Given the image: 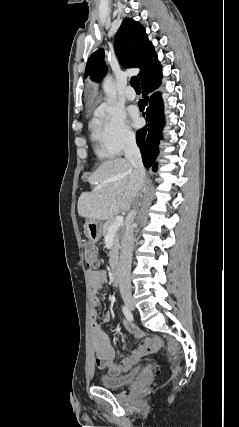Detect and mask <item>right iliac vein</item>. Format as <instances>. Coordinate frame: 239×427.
Instances as JSON below:
<instances>
[{"label": "right iliac vein", "mask_w": 239, "mask_h": 427, "mask_svg": "<svg viewBox=\"0 0 239 427\" xmlns=\"http://www.w3.org/2000/svg\"><path fill=\"white\" fill-rule=\"evenodd\" d=\"M123 301L125 303V305L127 306V308H129L130 310H134V300L132 297V294L130 291H122L121 293Z\"/></svg>", "instance_id": "63e3f726"}]
</instances>
